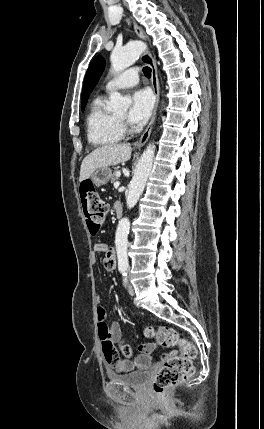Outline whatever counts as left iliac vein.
<instances>
[{
  "instance_id": "left-iliac-vein-1",
  "label": "left iliac vein",
  "mask_w": 264,
  "mask_h": 429,
  "mask_svg": "<svg viewBox=\"0 0 264 429\" xmlns=\"http://www.w3.org/2000/svg\"><path fill=\"white\" fill-rule=\"evenodd\" d=\"M128 290H129V294L131 296H133L135 294L134 288L131 284H128Z\"/></svg>"
}]
</instances>
